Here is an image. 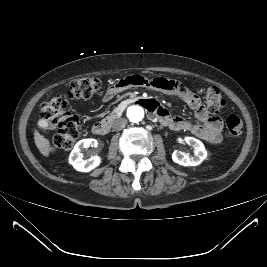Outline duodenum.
<instances>
[{
	"label": "duodenum",
	"instance_id": "obj_1",
	"mask_svg": "<svg viewBox=\"0 0 267 267\" xmlns=\"http://www.w3.org/2000/svg\"><path fill=\"white\" fill-rule=\"evenodd\" d=\"M134 102L142 104L149 110H155L157 105L153 100H134ZM118 116V113L114 114L110 118L104 119L95 123L92 127V132L95 135H105L110 131L112 121Z\"/></svg>",
	"mask_w": 267,
	"mask_h": 267
}]
</instances>
